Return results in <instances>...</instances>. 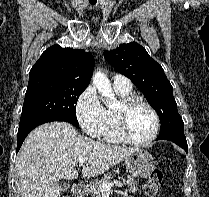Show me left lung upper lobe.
I'll list each match as a JSON object with an SVG mask.
<instances>
[{"mask_svg":"<svg viewBox=\"0 0 209 197\" xmlns=\"http://www.w3.org/2000/svg\"><path fill=\"white\" fill-rule=\"evenodd\" d=\"M104 56L115 70L130 78L146 95L148 103L160 117L159 134L183 129L184 123L177 110L172 85L161 65L141 45L136 42L121 44L114 50L105 51Z\"/></svg>","mask_w":209,"mask_h":197,"instance_id":"5c2ea615","label":"left lung upper lobe"}]
</instances>
